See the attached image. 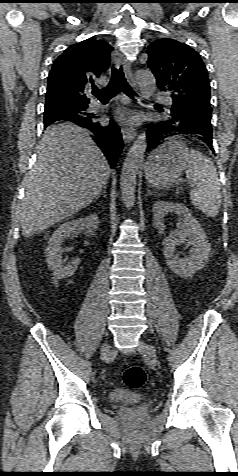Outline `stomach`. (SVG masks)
Here are the masks:
<instances>
[{
  "label": "stomach",
  "instance_id": "1",
  "mask_svg": "<svg viewBox=\"0 0 238 476\" xmlns=\"http://www.w3.org/2000/svg\"><path fill=\"white\" fill-rule=\"evenodd\" d=\"M190 154L185 144L176 139H170L154 150L145 164V178L156 188L171 187L183 170L187 168Z\"/></svg>",
  "mask_w": 238,
  "mask_h": 476
}]
</instances>
